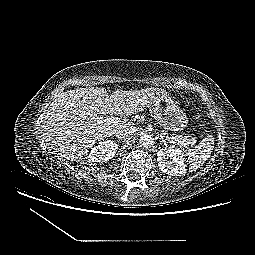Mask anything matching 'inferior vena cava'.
<instances>
[{"mask_svg": "<svg viewBox=\"0 0 255 255\" xmlns=\"http://www.w3.org/2000/svg\"><path fill=\"white\" fill-rule=\"evenodd\" d=\"M135 133V129L131 127L121 128L115 132L118 139H127Z\"/></svg>", "mask_w": 255, "mask_h": 255, "instance_id": "1", "label": "inferior vena cava"}]
</instances>
